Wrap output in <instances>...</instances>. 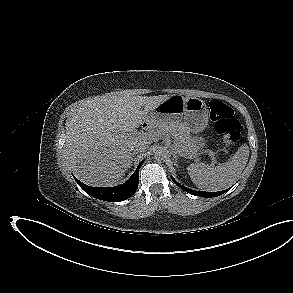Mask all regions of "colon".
Here are the masks:
<instances>
[{"instance_id":"colon-1","label":"colon","mask_w":293,"mask_h":293,"mask_svg":"<svg viewBox=\"0 0 293 293\" xmlns=\"http://www.w3.org/2000/svg\"><path fill=\"white\" fill-rule=\"evenodd\" d=\"M210 118L215 130L222 135L227 146H234L240 139L241 126L233 109L224 102L213 99L209 102Z\"/></svg>"}]
</instances>
